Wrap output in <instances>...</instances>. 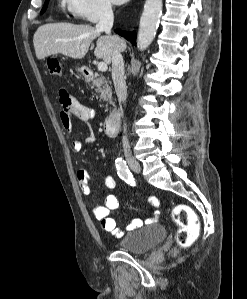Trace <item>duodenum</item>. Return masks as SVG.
Masks as SVG:
<instances>
[{
  "label": "duodenum",
  "instance_id": "duodenum-1",
  "mask_svg": "<svg viewBox=\"0 0 247 299\" xmlns=\"http://www.w3.org/2000/svg\"><path fill=\"white\" fill-rule=\"evenodd\" d=\"M84 73L87 78L91 77V71L88 68L84 69ZM120 121V112L118 109H114L110 112L104 120V129L107 135L114 136L118 132Z\"/></svg>",
  "mask_w": 247,
  "mask_h": 299
}]
</instances>
